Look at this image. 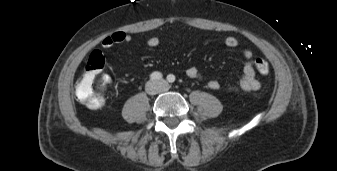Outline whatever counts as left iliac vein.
<instances>
[{
	"instance_id": "obj_1",
	"label": "left iliac vein",
	"mask_w": 337,
	"mask_h": 171,
	"mask_svg": "<svg viewBox=\"0 0 337 171\" xmlns=\"http://www.w3.org/2000/svg\"><path fill=\"white\" fill-rule=\"evenodd\" d=\"M161 85H163V89L166 90V86L163 84V82H160Z\"/></svg>"
}]
</instances>
